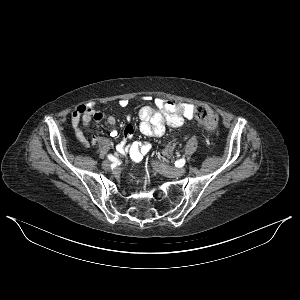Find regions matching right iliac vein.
<instances>
[{
  "mask_svg": "<svg viewBox=\"0 0 300 300\" xmlns=\"http://www.w3.org/2000/svg\"><path fill=\"white\" fill-rule=\"evenodd\" d=\"M102 167H103L105 170H110L111 164H110L109 161H103Z\"/></svg>",
  "mask_w": 300,
  "mask_h": 300,
  "instance_id": "63e3f726",
  "label": "right iliac vein"
}]
</instances>
